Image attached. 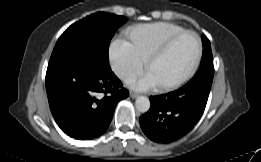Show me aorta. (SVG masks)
I'll list each match as a JSON object with an SVG mask.
<instances>
[{
	"mask_svg": "<svg viewBox=\"0 0 261 162\" xmlns=\"http://www.w3.org/2000/svg\"><path fill=\"white\" fill-rule=\"evenodd\" d=\"M135 107L139 112L145 113L150 108V101L145 96H139L135 101Z\"/></svg>",
	"mask_w": 261,
	"mask_h": 162,
	"instance_id": "1",
	"label": "aorta"
}]
</instances>
